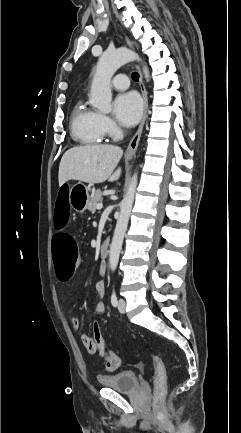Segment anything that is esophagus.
Instances as JSON below:
<instances>
[{"mask_svg": "<svg viewBox=\"0 0 241 433\" xmlns=\"http://www.w3.org/2000/svg\"><path fill=\"white\" fill-rule=\"evenodd\" d=\"M126 42L129 45V47L132 48V43L128 38H126ZM136 67H137V70L139 72V85H140V90H141V94H142V98H143L144 110H143V116H142L140 125L138 127V130L135 133V135L133 136V138L131 139V141L129 142V145L127 147V150L125 153V157L127 159L132 158L133 155L135 154L136 150H137V147H138V144L140 141V137L142 134V130L144 127V123L146 120V116H147V109H148V98H147V92H146L144 82H143V77H142L139 65H136Z\"/></svg>", "mask_w": 241, "mask_h": 433, "instance_id": "esophagus-1", "label": "esophagus"}]
</instances>
